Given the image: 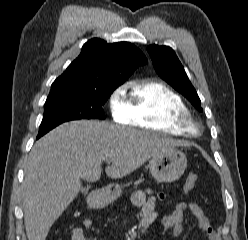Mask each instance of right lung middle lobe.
I'll return each instance as SVG.
<instances>
[{
	"mask_svg": "<svg viewBox=\"0 0 248 240\" xmlns=\"http://www.w3.org/2000/svg\"><path fill=\"white\" fill-rule=\"evenodd\" d=\"M115 88H63L50 91L39 130L78 119H105L102 106Z\"/></svg>",
	"mask_w": 248,
	"mask_h": 240,
	"instance_id": "obj_1",
	"label": "right lung middle lobe"
}]
</instances>
